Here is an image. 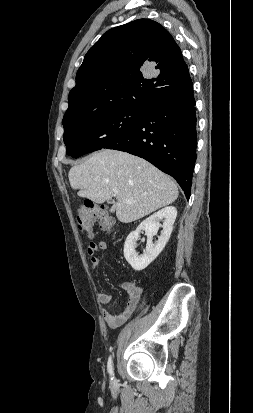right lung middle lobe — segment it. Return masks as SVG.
I'll list each match as a JSON object with an SVG mask.
<instances>
[{
  "instance_id": "right-lung-middle-lobe-1",
  "label": "right lung middle lobe",
  "mask_w": 253,
  "mask_h": 413,
  "mask_svg": "<svg viewBox=\"0 0 253 413\" xmlns=\"http://www.w3.org/2000/svg\"><path fill=\"white\" fill-rule=\"evenodd\" d=\"M141 116V109L119 108L64 124L67 155L77 158L118 142L138 125Z\"/></svg>"
}]
</instances>
